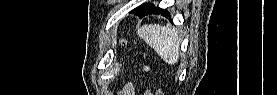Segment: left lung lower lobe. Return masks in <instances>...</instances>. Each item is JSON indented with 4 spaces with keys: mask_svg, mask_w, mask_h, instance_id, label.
Wrapping results in <instances>:
<instances>
[{
    "mask_svg": "<svg viewBox=\"0 0 277 95\" xmlns=\"http://www.w3.org/2000/svg\"><path fill=\"white\" fill-rule=\"evenodd\" d=\"M131 13H134L138 15L139 17H144L145 15L148 14H163L169 15L168 11L162 9V8H155L154 5L148 3V4H142L141 6L135 8L134 10L131 11ZM170 17V15H169Z\"/></svg>",
    "mask_w": 277,
    "mask_h": 95,
    "instance_id": "0a47b994",
    "label": "left lung lower lobe"
}]
</instances>
